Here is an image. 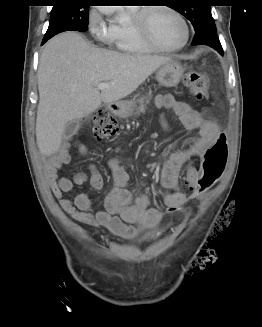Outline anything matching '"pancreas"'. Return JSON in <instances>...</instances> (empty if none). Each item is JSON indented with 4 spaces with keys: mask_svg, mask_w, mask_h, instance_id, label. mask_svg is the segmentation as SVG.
<instances>
[{
    "mask_svg": "<svg viewBox=\"0 0 262 327\" xmlns=\"http://www.w3.org/2000/svg\"><path fill=\"white\" fill-rule=\"evenodd\" d=\"M139 103H140V105H139V107H137V109H136L137 111H136L135 115H140V113H145L146 106L144 105V99L143 98L140 99ZM147 103H149V101H147Z\"/></svg>",
    "mask_w": 262,
    "mask_h": 327,
    "instance_id": "pancreas-1",
    "label": "pancreas"
}]
</instances>
